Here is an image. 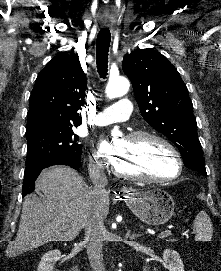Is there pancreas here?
<instances>
[{
  "instance_id": "1",
  "label": "pancreas",
  "mask_w": 221,
  "mask_h": 271,
  "mask_svg": "<svg viewBox=\"0 0 221 271\" xmlns=\"http://www.w3.org/2000/svg\"><path fill=\"white\" fill-rule=\"evenodd\" d=\"M166 244H175V239H166Z\"/></svg>"
}]
</instances>
